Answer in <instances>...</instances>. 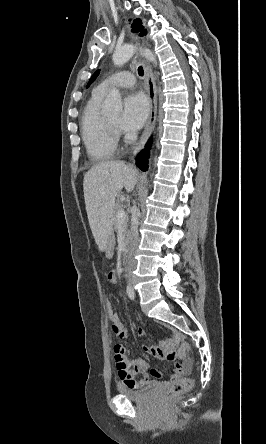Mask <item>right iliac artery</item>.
I'll return each instance as SVG.
<instances>
[{"label":"right iliac artery","mask_w":266,"mask_h":444,"mask_svg":"<svg viewBox=\"0 0 266 444\" xmlns=\"http://www.w3.org/2000/svg\"><path fill=\"white\" fill-rule=\"evenodd\" d=\"M126 292H127V295L130 299L133 300L135 298V293H134V290L132 287L127 286Z\"/></svg>","instance_id":"82829eb1"}]
</instances>
